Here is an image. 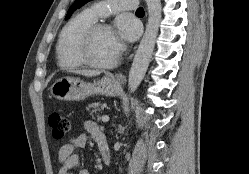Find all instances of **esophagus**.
Listing matches in <instances>:
<instances>
[{"instance_id":"34e87169","label":"esophagus","mask_w":249,"mask_h":174,"mask_svg":"<svg viewBox=\"0 0 249 174\" xmlns=\"http://www.w3.org/2000/svg\"><path fill=\"white\" fill-rule=\"evenodd\" d=\"M115 79L117 80V82H119L121 84L126 81V78H125L124 74H122V73L116 74Z\"/></svg>"}]
</instances>
